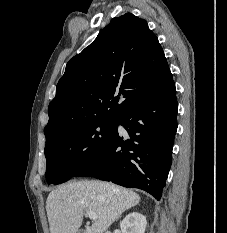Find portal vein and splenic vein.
Listing matches in <instances>:
<instances>
[{"mask_svg": "<svg viewBox=\"0 0 227 233\" xmlns=\"http://www.w3.org/2000/svg\"><path fill=\"white\" fill-rule=\"evenodd\" d=\"M88 217L92 220H95L97 218V215L94 212H88Z\"/></svg>", "mask_w": 227, "mask_h": 233, "instance_id": "obj_1", "label": "portal vein and splenic vein"}]
</instances>
